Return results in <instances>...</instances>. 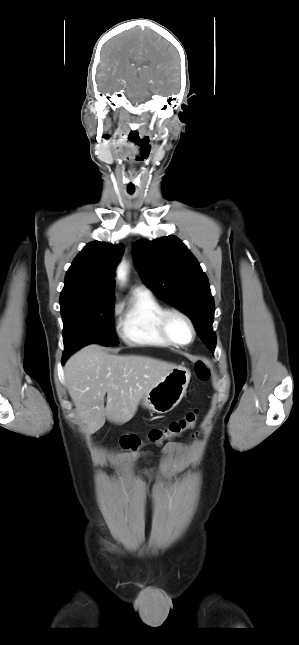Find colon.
Segmentation results:
<instances>
[{
    "label": "colon",
    "mask_w": 299,
    "mask_h": 645,
    "mask_svg": "<svg viewBox=\"0 0 299 645\" xmlns=\"http://www.w3.org/2000/svg\"><path fill=\"white\" fill-rule=\"evenodd\" d=\"M195 374L199 380L207 381L211 375L209 365L204 361H199L195 366ZM197 420L198 411L193 410L188 412L183 418L170 422L165 427L151 429L145 439L134 434L125 435L121 437L119 445L123 450L131 453L139 451L145 443L160 446L166 441H170L182 435L187 430L194 428Z\"/></svg>",
    "instance_id": "1"
}]
</instances>
